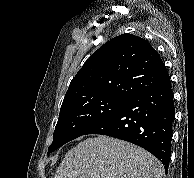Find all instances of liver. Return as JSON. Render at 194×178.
<instances>
[{"label":"liver","mask_w":194,"mask_h":178,"mask_svg":"<svg viewBox=\"0 0 194 178\" xmlns=\"http://www.w3.org/2000/svg\"><path fill=\"white\" fill-rule=\"evenodd\" d=\"M161 162L146 150L99 135L70 149L54 178H163Z\"/></svg>","instance_id":"6515ba94"}]
</instances>
